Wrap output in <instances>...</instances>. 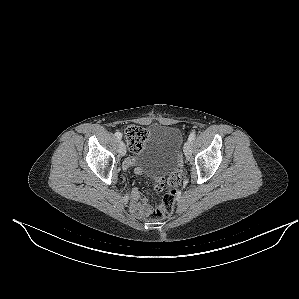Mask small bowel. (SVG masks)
Segmentation results:
<instances>
[{"instance_id":"small-bowel-1","label":"small bowel","mask_w":299,"mask_h":299,"mask_svg":"<svg viewBox=\"0 0 299 299\" xmlns=\"http://www.w3.org/2000/svg\"><path fill=\"white\" fill-rule=\"evenodd\" d=\"M135 162H136L135 158L131 157L126 161L124 167L128 168L134 165ZM136 173L140 174L141 170L136 169ZM131 197H132L131 210L133 211V213H135L137 216L140 217L147 216L150 212L151 207L142 197L140 191L137 188L133 189Z\"/></svg>"}]
</instances>
